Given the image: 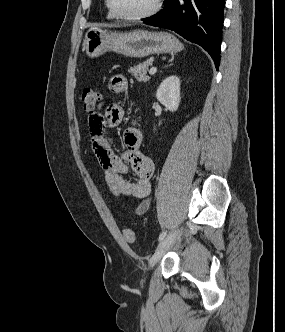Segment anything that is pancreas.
Masks as SVG:
<instances>
[{
    "label": "pancreas",
    "mask_w": 285,
    "mask_h": 332,
    "mask_svg": "<svg viewBox=\"0 0 285 332\" xmlns=\"http://www.w3.org/2000/svg\"><path fill=\"white\" fill-rule=\"evenodd\" d=\"M152 65L151 60H147L143 63L135 65L130 69V73L134 76L139 82H147L150 77L147 76V71L149 66Z\"/></svg>",
    "instance_id": "obj_1"
}]
</instances>
